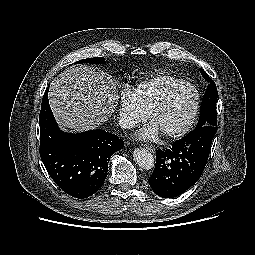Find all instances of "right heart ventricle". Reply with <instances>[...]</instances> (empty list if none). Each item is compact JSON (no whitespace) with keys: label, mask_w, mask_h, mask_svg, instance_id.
<instances>
[{"label":"right heart ventricle","mask_w":255,"mask_h":255,"mask_svg":"<svg viewBox=\"0 0 255 255\" xmlns=\"http://www.w3.org/2000/svg\"><path fill=\"white\" fill-rule=\"evenodd\" d=\"M184 83L185 80L179 77L158 75L139 82L133 91L137 101L147 113L161 99Z\"/></svg>","instance_id":"obj_1"}]
</instances>
